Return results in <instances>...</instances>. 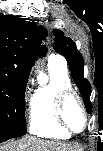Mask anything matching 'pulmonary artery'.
Here are the masks:
<instances>
[{
  "label": "pulmonary artery",
  "instance_id": "pulmonary-artery-1",
  "mask_svg": "<svg viewBox=\"0 0 103 151\" xmlns=\"http://www.w3.org/2000/svg\"><path fill=\"white\" fill-rule=\"evenodd\" d=\"M48 63H56L64 67L66 66L65 59L62 56L55 54L50 55Z\"/></svg>",
  "mask_w": 103,
  "mask_h": 151
}]
</instances>
